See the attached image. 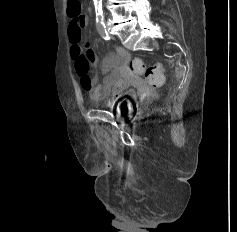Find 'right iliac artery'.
Segmentation results:
<instances>
[{
  "label": "right iliac artery",
  "instance_id": "82829eb1",
  "mask_svg": "<svg viewBox=\"0 0 237 232\" xmlns=\"http://www.w3.org/2000/svg\"><path fill=\"white\" fill-rule=\"evenodd\" d=\"M97 30H98L99 34L101 35V37L103 39H105V40H109L110 39L109 34H108L104 24H98L97 25Z\"/></svg>",
  "mask_w": 237,
  "mask_h": 232
}]
</instances>
